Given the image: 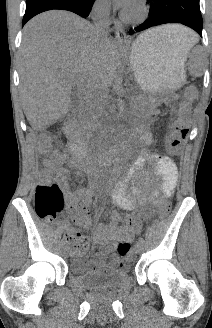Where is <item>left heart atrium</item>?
Instances as JSON below:
<instances>
[{"mask_svg":"<svg viewBox=\"0 0 212 328\" xmlns=\"http://www.w3.org/2000/svg\"><path fill=\"white\" fill-rule=\"evenodd\" d=\"M120 6L129 9L133 3V0H115Z\"/></svg>","mask_w":212,"mask_h":328,"instance_id":"1","label":"left heart atrium"}]
</instances>
